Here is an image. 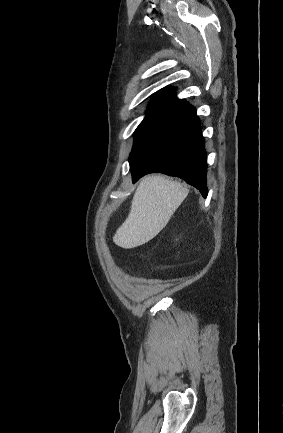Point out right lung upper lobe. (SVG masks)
<instances>
[{
	"label": "right lung upper lobe",
	"instance_id": "1",
	"mask_svg": "<svg viewBox=\"0 0 283 433\" xmlns=\"http://www.w3.org/2000/svg\"><path fill=\"white\" fill-rule=\"evenodd\" d=\"M183 102L184 100L175 97L172 87L164 88L155 94L149 105L148 112L162 115Z\"/></svg>",
	"mask_w": 283,
	"mask_h": 433
}]
</instances>
